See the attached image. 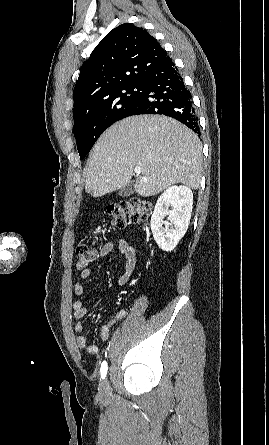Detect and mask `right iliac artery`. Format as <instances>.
<instances>
[{"label": "right iliac artery", "mask_w": 269, "mask_h": 445, "mask_svg": "<svg viewBox=\"0 0 269 445\" xmlns=\"http://www.w3.org/2000/svg\"><path fill=\"white\" fill-rule=\"evenodd\" d=\"M108 370V365L106 361H103L100 368L101 378L104 379L106 377Z\"/></svg>", "instance_id": "right-iliac-artery-1"}]
</instances>
